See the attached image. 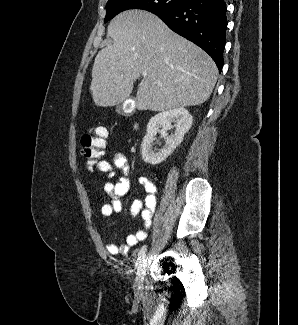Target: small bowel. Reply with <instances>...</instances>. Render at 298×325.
<instances>
[{"mask_svg": "<svg viewBox=\"0 0 298 325\" xmlns=\"http://www.w3.org/2000/svg\"><path fill=\"white\" fill-rule=\"evenodd\" d=\"M97 169L106 175L108 179L115 177L119 170L122 173L116 182H107L104 185L105 192L110 196V202L101 207V213L105 217H112L122 209V198L128 193L130 188L129 172L130 166L127 158L122 153H114L110 161L100 160ZM139 183L142 185L145 196L143 200H135L131 204L130 214L132 218L140 216L143 228L134 234L127 236L126 243L116 245L106 244V251L112 255L126 254L131 247L143 241L147 236V229L150 227L156 209L157 178L150 180L147 177H140Z\"/></svg>", "mask_w": 298, "mask_h": 325, "instance_id": "c3829d8e", "label": "small bowel"}]
</instances>
